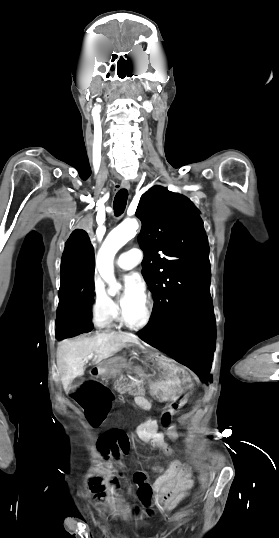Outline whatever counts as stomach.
Here are the masks:
<instances>
[{"label":"stomach","mask_w":279,"mask_h":538,"mask_svg":"<svg viewBox=\"0 0 279 538\" xmlns=\"http://www.w3.org/2000/svg\"><path fill=\"white\" fill-rule=\"evenodd\" d=\"M153 362L155 364H162L164 362V355L162 353H155L153 355ZM165 376L167 378H177L178 380H183L187 376V369L183 367L181 363H173L171 367H167L165 369ZM166 377H163V379H157L155 385L150 386V393L152 395H156L158 399H162L164 397L165 400L170 401L175 398V390L177 389V386L172 384V382H167V385L171 386H165ZM180 385H185L184 389L186 391L191 389L189 382H180ZM162 390L164 394L161 392ZM180 393H183V390H180Z\"/></svg>","instance_id":"1"}]
</instances>
